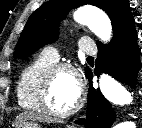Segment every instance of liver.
Wrapping results in <instances>:
<instances>
[{
  "instance_id": "1",
  "label": "liver",
  "mask_w": 142,
  "mask_h": 128,
  "mask_svg": "<svg viewBox=\"0 0 142 128\" xmlns=\"http://www.w3.org/2000/svg\"><path fill=\"white\" fill-rule=\"evenodd\" d=\"M24 120H33V121H49V118L42 115V114H38V113H34V112H24L19 114L16 117V123L24 121Z\"/></svg>"
}]
</instances>
